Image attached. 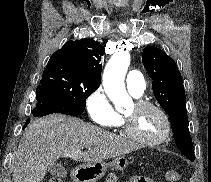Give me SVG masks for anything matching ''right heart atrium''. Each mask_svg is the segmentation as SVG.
I'll list each match as a JSON object with an SVG mask.
<instances>
[{
    "label": "right heart atrium",
    "mask_w": 211,
    "mask_h": 182,
    "mask_svg": "<svg viewBox=\"0 0 211 182\" xmlns=\"http://www.w3.org/2000/svg\"><path fill=\"white\" fill-rule=\"evenodd\" d=\"M86 110L93 123L101 126H112L118 114L102 87L96 88L86 99Z\"/></svg>",
    "instance_id": "right-heart-atrium-1"
}]
</instances>
